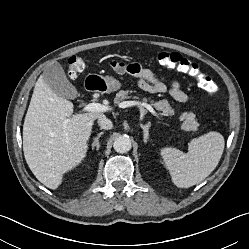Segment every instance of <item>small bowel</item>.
Wrapping results in <instances>:
<instances>
[{
	"label": "small bowel",
	"mask_w": 249,
	"mask_h": 249,
	"mask_svg": "<svg viewBox=\"0 0 249 249\" xmlns=\"http://www.w3.org/2000/svg\"><path fill=\"white\" fill-rule=\"evenodd\" d=\"M118 73H129L138 78V86L149 93H165L169 92L171 97L181 103L188 101V95L182 90L181 85L177 79L171 81L168 87L166 83L158 78L150 69L141 67L138 64L126 65V69L123 71H117Z\"/></svg>",
	"instance_id": "c3829d8e"
}]
</instances>
